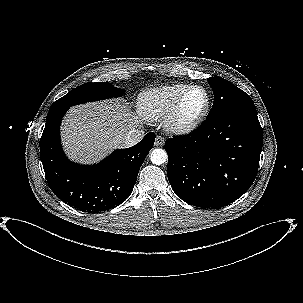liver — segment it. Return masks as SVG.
<instances>
[{"mask_svg": "<svg viewBox=\"0 0 303 303\" xmlns=\"http://www.w3.org/2000/svg\"><path fill=\"white\" fill-rule=\"evenodd\" d=\"M139 124L138 116L118 99L81 104L63 121V145L72 160L92 163L122 147L125 134Z\"/></svg>", "mask_w": 303, "mask_h": 303, "instance_id": "liver-1", "label": "liver"}]
</instances>
